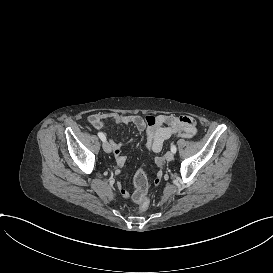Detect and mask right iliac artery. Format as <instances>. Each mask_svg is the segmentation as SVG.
Here are the masks:
<instances>
[{
  "label": "right iliac artery",
  "mask_w": 273,
  "mask_h": 273,
  "mask_svg": "<svg viewBox=\"0 0 273 273\" xmlns=\"http://www.w3.org/2000/svg\"><path fill=\"white\" fill-rule=\"evenodd\" d=\"M98 136H99V138H100L103 142L106 141V137H105V135H104L102 132H98Z\"/></svg>",
  "instance_id": "right-iliac-artery-1"
}]
</instances>
